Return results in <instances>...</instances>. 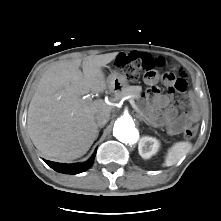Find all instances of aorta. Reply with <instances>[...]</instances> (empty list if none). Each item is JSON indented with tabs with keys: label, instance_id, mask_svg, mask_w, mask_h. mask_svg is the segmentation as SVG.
Wrapping results in <instances>:
<instances>
[{
	"label": "aorta",
	"instance_id": "aorta-1",
	"mask_svg": "<svg viewBox=\"0 0 221 221\" xmlns=\"http://www.w3.org/2000/svg\"><path fill=\"white\" fill-rule=\"evenodd\" d=\"M114 136L121 142L134 143L138 139V130L130 116L124 115L118 118L113 128Z\"/></svg>",
	"mask_w": 221,
	"mask_h": 221
}]
</instances>
